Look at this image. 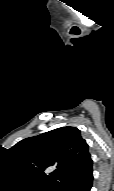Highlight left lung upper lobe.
<instances>
[{
	"instance_id": "1",
	"label": "left lung upper lobe",
	"mask_w": 114,
	"mask_h": 191,
	"mask_svg": "<svg viewBox=\"0 0 114 191\" xmlns=\"http://www.w3.org/2000/svg\"><path fill=\"white\" fill-rule=\"evenodd\" d=\"M9 152L25 171L58 191L90 159L88 144L75 127H61L23 139Z\"/></svg>"
}]
</instances>
